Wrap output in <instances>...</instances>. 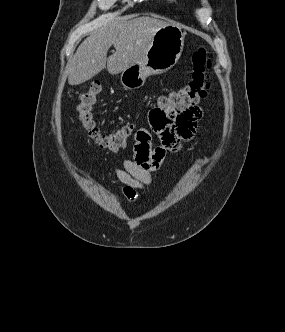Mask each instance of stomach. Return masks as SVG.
Instances as JSON below:
<instances>
[{"label":"stomach","instance_id":"obj_1","mask_svg":"<svg viewBox=\"0 0 285 332\" xmlns=\"http://www.w3.org/2000/svg\"><path fill=\"white\" fill-rule=\"evenodd\" d=\"M185 33L169 24L159 29L139 63L121 73L120 82L126 90L142 87L150 75H159L170 70L179 60L184 47Z\"/></svg>","mask_w":285,"mask_h":332}]
</instances>
